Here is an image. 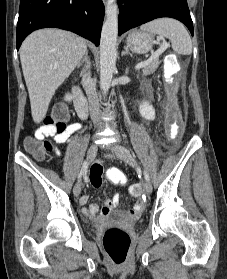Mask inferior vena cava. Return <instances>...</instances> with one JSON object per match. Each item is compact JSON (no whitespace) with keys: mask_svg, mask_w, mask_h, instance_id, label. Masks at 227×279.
I'll return each instance as SVG.
<instances>
[{"mask_svg":"<svg viewBox=\"0 0 227 279\" xmlns=\"http://www.w3.org/2000/svg\"><path fill=\"white\" fill-rule=\"evenodd\" d=\"M82 85L88 97L91 118L94 124L99 126V100L96 93L95 83L93 82L89 71L82 74Z\"/></svg>","mask_w":227,"mask_h":279,"instance_id":"1","label":"inferior vena cava"}]
</instances>
